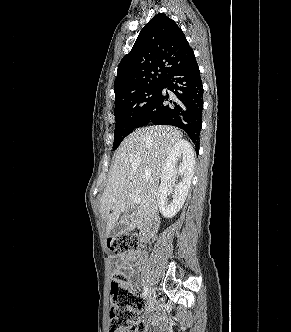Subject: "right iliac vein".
I'll use <instances>...</instances> for the list:
<instances>
[{"instance_id": "63e3f726", "label": "right iliac vein", "mask_w": 291, "mask_h": 332, "mask_svg": "<svg viewBox=\"0 0 291 332\" xmlns=\"http://www.w3.org/2000/svg\"><path fill=\"white\" fill-rule=\"evenodd\" d=\"M156 301V294L154 288H151L149 291V297H148V307L149 309L154 306Z\"/></svg>"}]
</instances>
